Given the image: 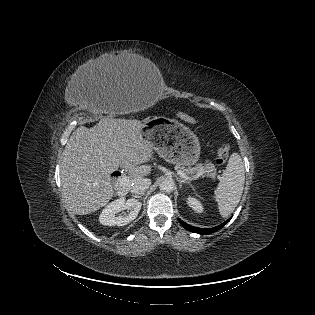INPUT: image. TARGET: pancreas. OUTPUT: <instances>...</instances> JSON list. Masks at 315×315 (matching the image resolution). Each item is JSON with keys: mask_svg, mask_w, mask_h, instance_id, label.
<instances>
[{"mask_svg": "<svg viewBox=\"0 0 315 315\" xmlns=\"http://www.w3.org/2000/svg\"><path fill=\"white\" fill-rule=\"evenodd\" d=\"M178 167L185 173V174H188V175H192V174H195V173H199V172H202V175H205L207 174L208 176L214 178L215 175H216V168H215V165L212 164L211 162H206L204 164H199L195 167H188V168H185L183 166H179Z\"/></svg>", "mask_w": 315, "mask_h": 315, "instance_id": "pancreas-1", "label": "pancreas"}]
</instances>
